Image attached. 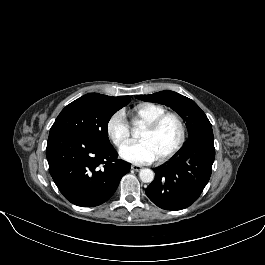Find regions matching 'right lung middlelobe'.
<instances>
[{
  "mask_svg": "<svg viewBox=\"0 0 265 265\" xmlns=\"http://www.w3.org/2000/svg\"><path fill=\"white\" fill-rule=\"evenodd\" d=\"M128 102L109 105L82 96L61 111L50 129L49 135L64 131L77 132L101 143L110 144L108 122L112 115Z\"/></svg>",
  "mask_w": 265,
  "mask_h": 265,
  "instance_id": "1",
  "label": "right lung middle lobe"
}]
</instances>
